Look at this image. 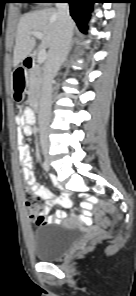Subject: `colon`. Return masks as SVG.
I'll list each match as a JSON object with an SVG mask.
<instances>
[{"mask_svg": "<svg viewBox=\"0 0 136 296\" xmlns=\"http://www.w3.org/2000/svg\"><path fill=\"white\" fill-rule=\"evenodd\" d=\"M25 207L30 215V217L38 224L43 225L46 222V216L43 214V207L38 196L30 192L29 190L25 191L24 194ZM100 208L108 213L114 212V208L111 204L106 202L100 203Z\"/></svg>", "mask_w": 136, "mask_h": 296, "instance_id": "5ec220e1", "label": "colon"}]
</instances>
